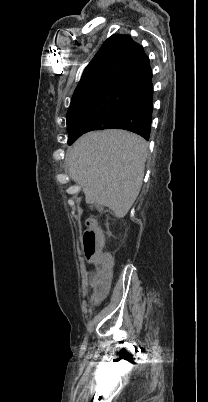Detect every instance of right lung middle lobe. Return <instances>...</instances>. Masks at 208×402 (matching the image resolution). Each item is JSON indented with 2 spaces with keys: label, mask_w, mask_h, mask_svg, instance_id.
I'll return each mask as SVG.
<instances>
[{
  "label": "right lung middle lobe",
  "mask_w": 208,
  "mask_h": 402,
  "mask_svg": "<svg viewBox=\"0 0 208 402\" xmlns=\"http://www.w3.org/2000/svg\"><path fill=\"white\" fill-rule=\"evenodd\" d=\"M121 94L110 83H103L97 87L73 97L67 112V123L82 121L91 116H106L117 113L120 108ZM81 132L69 134L68 144L71 145Z\"/></svg>",
  "instance_id": "dd1d6c3e"
}]
</instances>
